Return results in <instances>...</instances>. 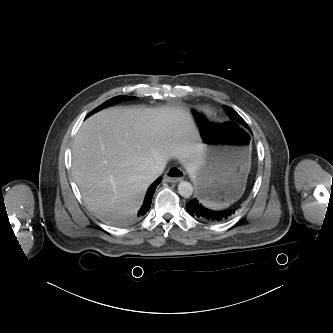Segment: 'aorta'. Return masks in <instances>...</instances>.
Segmentation results:
<instances>
[{"label":"aorta","instance_id":"762f6f07","mask_svg":"<svg viewBox=\"0 0 333 333\" xmlns=\"http://www.w3.org/2000/svg\"><path fill=\"white\" fill-rule=\"evenodd\" d=\"M178 192L184 198H189L193 194V187L191 183L181 181L178 185Z\"/></svg>","mask_w":333,"mask_h":333}]
</instances>
